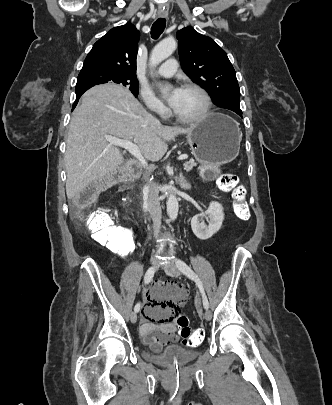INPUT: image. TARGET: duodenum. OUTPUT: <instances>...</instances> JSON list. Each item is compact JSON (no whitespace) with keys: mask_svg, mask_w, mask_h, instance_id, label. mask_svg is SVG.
<instances>
[{"mask_svg":"<svg viewBox=\"0 0 332 405\" xmlns=\"http://www.w3.org/2000/svg\"><path fill=\"white\" fill-rule=\"evenodd\" d=\"M135 171H136L135 166L130 167L129 169L118 174V180L120 182L130 181L133 178Z\"/></svg>","mask_w":332,"mask_h":405,"instance_id":"obj_1","label":"duodenum"}]
</instances>
